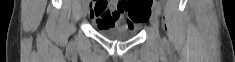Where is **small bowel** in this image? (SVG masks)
<instances>
[{"mask_svg": "<svg viewBox=\"0 0 235 62\" xmlns=\"http://www.w3.org/2000/svg\"><path fill=\"white\" fill-rule=\"evenodd\" d=\"M123 12L118 1H111L110 5H106L103 9L94 6L90 12V18L98 27L102 28L116 26L134 28L136 24H132L127 17L124 19Z\"/></svg>", "mask_w": 235, "mask_h": 62, "instance_id": "1", "label": "small bowel"}]
</instances>
